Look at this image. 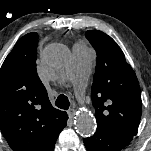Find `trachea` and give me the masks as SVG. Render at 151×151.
Returning a JSON list of instances; mask_svg holds the SVG:
<instances>
[{"instance_id": "trachea-1", "label": "trachea", "mask_w": 151, "mask_h": 151, "mask_svg": "<svg viewBox=\"0 0 151 151\" xmlns=\"http://www.w3.org/2000/svg\"><path fill=\"white\" fill-rule=\"evenodd\" d=\"M55 105H56L58 108L67 110V109L69 108V106H70V102H69L67 96L61 94V95H59L58 98L56 99Z\"/></svg>"}]
</instances>
